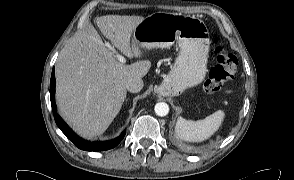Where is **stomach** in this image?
<instances>
[{
	"mask_svg": "<svg viewBox=\"0 0 294 180\" xmlns=\"http://www.w3.org/2000/svg\"><path fill=\"white\" fill-rule=\"evenodd\" d=\"M141 48L180 47L174 66L164 79L160 93L177 96L203 81L207 71L209 31L196 16L157 12L145 17L134 29Z\"/></svg>",
	"mask_w": 294,
	"mask_h": 180,
	"instance_id": "1",
	"label": "stomach"
}]
</instances>
